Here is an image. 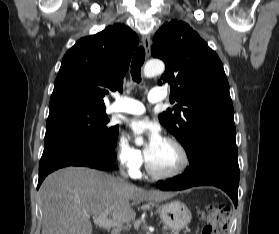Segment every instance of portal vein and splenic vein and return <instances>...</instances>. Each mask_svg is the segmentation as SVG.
Here are the masks:
<instances>
[{
  "label": "portal vein and splenic vein",
  "mask_w": 279,
  "mask_h": 234,
  "mask_svg": "<svg viewBox=\"0 0 279 234\" xmlns=\"http://www.w3.org/2000/svg\"><path fill=\"white\" fill-rule=\"evenodd\" d=\"M94 223L96 225H98L99 227H104V228L113 227V226H120L119 223L109 219L107 217V213H102V214L98 215L97 217H95L94 218Z\"/></svg>",
  "instance_id": "portal-vein-and-splenic-vein-1"
}]
</instances>
